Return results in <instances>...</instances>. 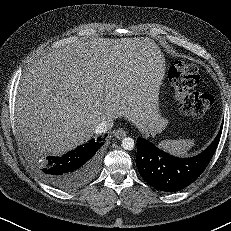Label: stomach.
I'll use <instances>...</instances> for the list:
<instances>
[{
  "mask_svg": "<svg viewBox=\"0 0 231 231\" xmlns=\"http://www.w3.org/2000/svg\"><path fill=\"white\" fill-rule=\"evenodd\" d=\"M166 125H167V120L160 114V116L153 121L151 131L154 134L160 133L161 131L164 130Z\"/></svg>",
  "mask_w": 231,
  "mask_h": 231,
  "instance_id": "stomach-1",
  "label": "stomach"
}]
</instances>
